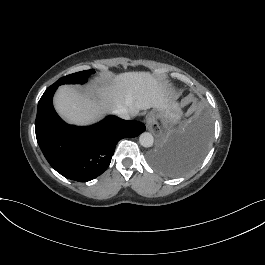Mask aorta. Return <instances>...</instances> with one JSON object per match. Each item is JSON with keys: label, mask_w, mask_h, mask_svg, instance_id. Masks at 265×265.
<instances>
[{"label": "aorta", "mask_w": 265, "mask_h": 265, "mask_svg": "<svg viewBox=\"0 0 265 265\" xmlns=\"http://www.w3.org/2000/svg\"><path fill=\"white\" fill-rule=\"evenodd\" d=\"M139 142L143 147H151L154 142L153 135L149 132H144L140 135Z\"/></svg>", "instance_id": "obj_1"}]
</instances>
